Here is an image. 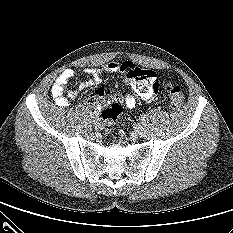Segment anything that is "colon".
<instances>
[{
  "label": "colon",
  "mask_w": 233,
  "mask_h": 233,
  "mask_svg": "<svg viewBox=\"0 0 233 233\" xmlns=\"http://www.w3.org/2000/svg\"><path fill=\"white\" fill-rule=\"evenodd\" d=\"M128 77L134 82H149L152 73L149 70L143 69L139 66L132 67L128 72ZM165 88L168 93L170 106L178 109L184 102V93L180 86L166 82ZM125 105L121 100L113 101L102 112V117L106 122V128L109 130L116 118L124 111Z\"/></svg>",
  "instance_id": "obj_1"
}]
</instances>
